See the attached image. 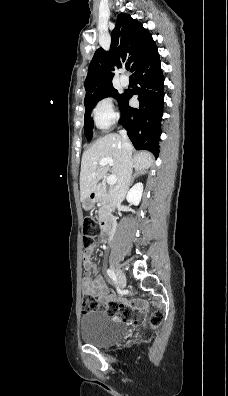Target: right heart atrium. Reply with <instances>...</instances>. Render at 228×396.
<instances>
[{"label": "right heart atrium", "mask_w": 228, "mask_h": 396, "mask_svg": "<svg viewBox=\"0 0 228 396\" xmlns=\"http://www.w3.org/2000/svg\"><path fill=\"white\" fill-rule=\"evenodd\" d=\"M92 116L95 125L103 130L112 126L119 117L111 97H103L98 100L93 107Z\"/></svg>", "instance_id": "d8ad5b80"}]
</instances>
